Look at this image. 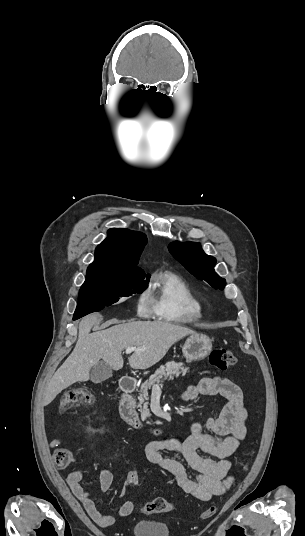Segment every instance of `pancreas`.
Listing matches in <instances>:
<instances>
[{"instance_id": "cf45deb5", "label": "pancreas", "mask_w": 305, "mask_h": 536, "mask_svg": "<svg viewBox=\"0 0 305 536\" xmlns=\"http://www.w3.org/2000/svg\"><path fill=\"white\" fill-rule=\"evenodd\" d=\"M188 370L189 368H184L182 362H179V364H177V362H167L165 366H160L155 374H152L149 380H146V382L142 384L139 394V402L137 404V408H140L139 412H141L142 420H146L148 416H151L148 410L149 402H147V400H149L148 390H151V386H154V384H161L163 380H174V378H179L180 374L181 376H186Z\"/></svg>"}]
</instances>
